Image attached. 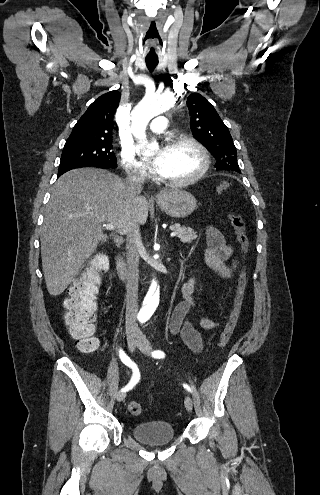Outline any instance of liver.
I'll return each mask as SVG.
<instances>
[{"instance_id": "liver-1", "label": "liver", "mask_w": 320, "mask_h": 495, "mask_svg": "<svg viewBox=\"0 0 320 495\" xmlns=\"http://www.w3.org/2000/svg\"><path fill=\"white\" fill-rule=\"evenodd\" d=\"M148 208L145 197L131 198L125 182L106 170L79 168L61 175L41 229L48 292L57 296L65 291L98 244L107 241L103 227L112 224L114 233L127 234L134 222L146 223Z\"/></svg>"}]
</instances>
